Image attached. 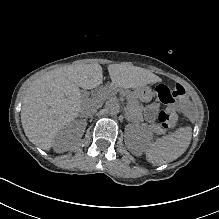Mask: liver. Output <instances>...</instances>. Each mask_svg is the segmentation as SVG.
<instances>
[{
	"mask_svg": "<svg viewBox=\"0 0 219 219\" xmlns=\"http://www.w3.org/2000/svg\"><path fill=\"white\" fill-rule=\"evenodd\" d=\"M114 88H137L151 82L152 73L132 65L108 66ZM103 82L102 67L98 63L69 65L46 72L35 79L23 97L21 123L29 141L49 150L59 131L81 113L83 105L90 113L102 106L103 95L82 98L80 88L90 90Z\"/></svg>",
	"mask_w": 219,
	"mask_h": 219,
	"instance_id": "liver-1",
	"label": "liver"
}]
</instances>
